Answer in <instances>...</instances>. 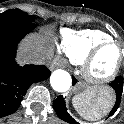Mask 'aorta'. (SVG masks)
Here are the masks:
<instances>
[{"label": "aorta", "instance_id": "obj_1", "mask_svg": "<svg viewBox=\"0 0 124 124\" xmlns=\"http://www.w3.org/2000/svg\"><path fill=\"white\" fill-rule=\"evenodd\" d=\"M72 83L70 74L65 70H55L50 77V84L57 92H66Z\"/></svg>", "mask_w": 124, "mask_h": 124}]
</instances>
